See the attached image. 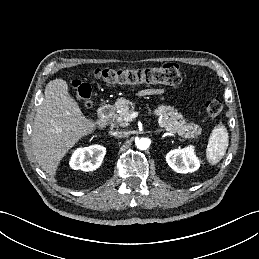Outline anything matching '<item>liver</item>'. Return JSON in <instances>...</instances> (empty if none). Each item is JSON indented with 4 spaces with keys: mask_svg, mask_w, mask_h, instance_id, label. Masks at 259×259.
Returning a JSON list of instances; mask_svg holds the SVG:
<instances>
[{
    "mask_svg": "<svg viewBox=\"0 0 259 259\" xmlns=\"http://www.w3.org/2000/svg\"><path fill=\"white\" fill-rule=\"evenodd\" d=\"M37 108L32 129V149L39 166L54 177L65 154L81 138L96 130L70 96L63 79L50 81Z\"/></svg>",
    "mask_w": 259,
    "mask_h": 259,
    "instance_id": "obj_1",
    "label": "liver"
}]
</instances>
